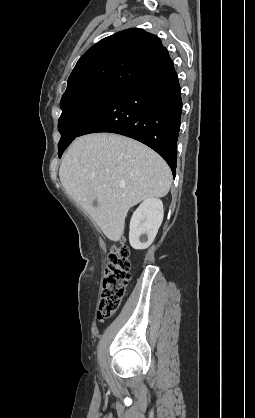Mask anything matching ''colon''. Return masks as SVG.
<instances>
[{"label":"colon","instance_id":"obj_1","mask_svg":"<svg viewBox=\"0 0 255 418\" xmlns=\"http://www.w3.org/2000/svg\"><path fill=\"white\" fill-rule=\"evenodd\" d=\"M130 281V261L125 246L115 247L107 257L97 317L106 319L114 315L124 297Z\"/></svg>","mask_w":255,"mask_h":418}]
</instances>
